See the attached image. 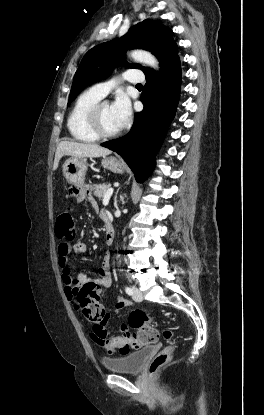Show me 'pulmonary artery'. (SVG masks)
<instances>
[{
	"label": "pulmonary artery",
	"mask_w": 264,
	"mask_h": 415,
	"mask_svg": "<svg viewBox=\"0 0 264 415\" xmlns=\"http://www.w3.org/2000/svg\"><path fill=\"white\" fill-rule=\"evenodd\" d=\"M124 79L132 84H138L144 81V75L142 73H125ZM119 84L117 79H113L107 82L98 83L93 85L90 90L97 94L99 97H105L109 92L115 89Z\"/></svg>",
	"instance_id": "obj_1"
}]
</instances>
